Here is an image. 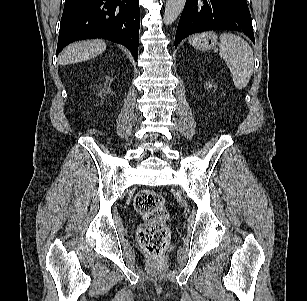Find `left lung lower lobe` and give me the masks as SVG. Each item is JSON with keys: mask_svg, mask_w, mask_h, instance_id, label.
I'll return each instance as SVG.
<instances>
[{"mask_svg": "<svg viewBox=\"0 0 307 301\" xmlns=\"http://www.w3.org/2000/svg\"><path fill=\"white\" fill-rule=\"evenodd\" d=\"M237 30L254 41L252 19L246 0H186L175 36V47L190 34Z\"/></svg>", "mask_w": 307, "mask_h": 301, "instance_id": "obj_1", "label": "left lung lower lobe"}]
</instances>
